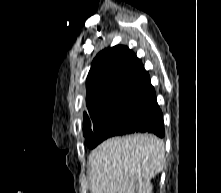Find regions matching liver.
<instances>
[{
  "mask_svg": "<svg viewBox=\"0 0 221 193\" xmlns=\"http://www.w3.org/2000/svg\"><path fill=\"white\" fill-rule=\"evenodd\" d=\"M92 193H152L151 179L163 170L164 143L152 134L107 139L89 156Z\"/></svg>",
  "mask_w": 221,
  "mask_h": 193,
  "instance_id": "1",
  "label": "liver"
}]
</instances>
